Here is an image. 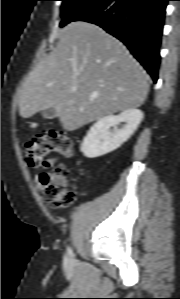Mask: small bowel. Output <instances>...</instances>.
<instances>
[{
	"label": "small bowel",
	"mask_w": 180,
	"mask_h": 299,
	"mask_svg": "<svg viewBox=\"0 0 180 299\" xmlns=\"http://www.w3.org/2000/svg\"><path fill=\"white\" fill-rule=\"evenodd\" d=\"M56 161H57V158H51V159L47 160V161L44 163L43 167H44V168H48V167L52 166L53 164H55ZM40 185H41V184H40V181H39V182H38V186H40Z\"/></svg>",
	"instance_id": "obj_1"
}]
</instances>
